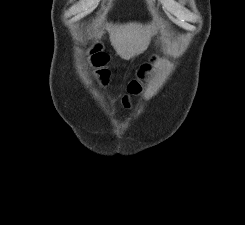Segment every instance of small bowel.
Returning a JSON list of instances; mask_svg holds the SVG:
<instances>
[{
    "mask_svg": "<svg viewBox=\"0 0 245 225\" xmlns=\"http://www.w3.org/2000/svg\"><path fill=\"white\" fill-rule=\"evenodd\" d=\"M100 58L103 60L104 63H108L110 61V58L105 55L101 56Z\"/></svg>",
    "mask_w": 245,
    "mask_h": 225,
    "instance_id": "small-bowel-1",
    "label": "small bowel"
}]
</instances>
